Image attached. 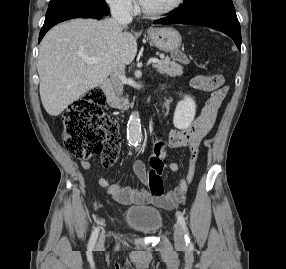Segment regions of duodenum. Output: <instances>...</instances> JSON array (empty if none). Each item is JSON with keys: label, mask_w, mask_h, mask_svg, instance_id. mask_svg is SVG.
Segmentation results:
<instances>
[{"label": "duodenum", "mask_w": 286, "mask_h": 269, "mask_svg": "<svg viewBox=\"0 0 286 269\" xmlns=\"http://www.w3.org/2000/svg\"><path fill=\"white\" fill-rule=\"evenodd\" d=\"M101 88H102V91L104 93L107 104L111 108L123 109V108H126L128 106L127 101H125L124 99H122L121 97H119L116 94L111 81L106 80V81L102 82Z\"/></svg>", "instance_id": "1"}]
</instances>
